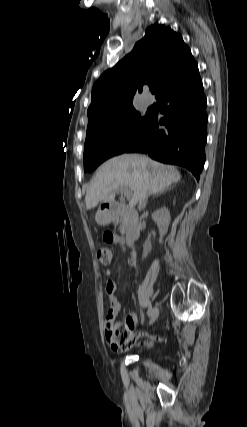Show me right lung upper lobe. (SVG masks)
<instances>
[{
	"instance_id": "cb5924a9",
	"label": "right lung upper lobe",
	"mask_w": 247,
	"mask_h": 427,
	"mask_svg": "<svg viewBox=\"0 0 247 427\" xmlns=\"http://www.w3.org/2000/svg\"><path fill=\"white\" fill-rule=\"evenodd\" d=\"M195 68L197 63L180 34L163 25H151L132 52L94 84L87 129L111 121L132 107L134 96L144 86L156 88L158 99Z\"/></svg>"
}]
</instances>
